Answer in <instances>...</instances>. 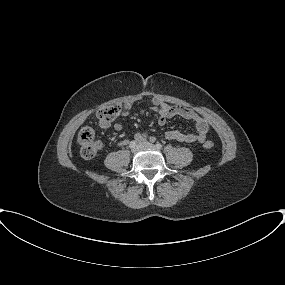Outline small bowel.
Segmentation results:
<instances>
[{"label": "small bowel", "instance_id": "c3829d8e", "mask_svg": "<svg viewBox=\"0 0 285 285\" xmlns=\"http://www.w3.org/2000/svg\"><path fill=\"white\" fill-rule=\"evenodd\" d=\"M143 100H147L151 103V110L158 115L157 122L160 126H165L167 121L173 117H181L183 119L191 120L194 122L196 129L195 133H184L179 130H170L165 133V138L167 140L177 141L181 143L205 142L209 131V124L204 118L199 116L195 111L190 108L169 105L157 96L140 95L125 100L121 105V116H129L132 106ZM98 124L101 128L108 127V123H104L102 121H99ZM122 128L123 126L121 123L114 124V129L116 131L119 132L122 130ZM148 138L150 139V141H155V137H148L146 133H137L134 137L135 141L141 144ZM122 144H127V141H123Z\"/></svg>", "mask_w": 285, "mask_h": 285}]
</instances>
